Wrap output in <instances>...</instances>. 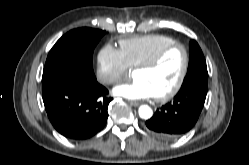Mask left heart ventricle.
<instances>
[{"instance_id":"b2bd125f","label":"left heart ventricle","mask_w":249,"mask_h":165,"mask_svg":"<svg viewBox=\"0 0 249 165\" xmlns=\"http://www.w3.org/2000/svg\"><path fill=\"white\" fill-rule=\"evenodd\" d=\"M183 62V52L176 48L167 53L155 68L135 70L133 76L143 79L151 87L154 95H161L175 85L182 70Z\"/></svg>"}]
</instances>
